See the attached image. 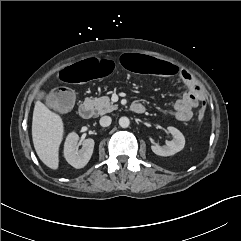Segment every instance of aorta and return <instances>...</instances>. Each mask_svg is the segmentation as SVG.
<instances>
[{
  "label": "aorta",
  "instance_id": "aorta-1",
  "mask_svg": "<svg viewBox=\"0 0 241 241\" xmlns=\"http://www.w3.org/2000/svg\"><path fill=\"white\" fill-rule=\"evenodd\" d=\"M119 125L122 127V128H127L129 125H130V120L129 118L127 117H121L119 119Z\"/></svg>",
  "mask_w": 241,
  "mask_h": 241
}]
</instances>
